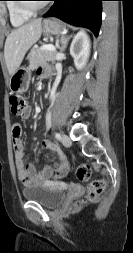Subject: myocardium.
<instances>
[{
	"mask_svg": "<svg viewBox=\"0 0 133 253\" xmlns=\"http://www.w3.org/2000/svg\"><path fill=\"white\" fill-rule=\"evenodd\" d=\"M21 1H23V2L19 3L20 8L24 12H27V13H30V14H35V13L39 12L40 10H42L46 6L45 3L34 5L32 3L26 2L28 0H21Z\"/></svg>",
	"mask_w": 133,
	"mask_h": 253,
	"instance_id": "myocardium-1",
	"label": "myocardium"
}]
</instances>
